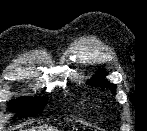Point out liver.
I'll return each instance as SVG.
<instances>
[{
	"mask_svg": "<svg viewBox=\"0 0 147 131\" xmlns=\"http://www.w3.org/2000/svg\"><path fill=\"white\" fill-rule=\"evenodd\" d=\"M26 131H58V129L51 125H42V126L29 128Z\"/></svg>",
	"mask_w": 147,
	"mask_h": 131,
	"instance_id": "obj_1",
	"label": "liver"
}]
</instances>
